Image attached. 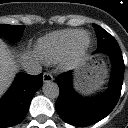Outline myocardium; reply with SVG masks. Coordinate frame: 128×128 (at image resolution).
Instances as JSON below:
<instances>
[{
	"instance_id": "1",
	"label": "myocardium",
	"mask_w": 128,
	"mask_h": 128,
	"mask_svg": "<svg viewBox=\"0 0 128 128\" xmlns=\"http://www.w3.org/2000/svg\"><path fill=\"white\" fill-rule=\"evenodd\" d=\"M76 36H79V39L82 43H75L72 46L66 58L67 65H72L76 61H78L85 54L90 44V38L88 33L80 31Z\"/></svg>"
}]
</instances>
